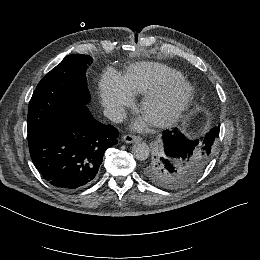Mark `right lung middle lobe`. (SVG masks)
<instances>
[{"label": "right lung middle lobe", "instance_id": "1", "mask_svg": "<svg viewBox=\"0 0 260 260\" xmlns=\"http://www.w3.org/2000/svg\"><path fill=\"white\" fill-rule=\"evenodd\" d=\"M90 63L88 55H69L39 82L29 104L28 135L90 101L86 78Z\"/></svg>", "mask_w": 260, "mask_h": 260}]
</instances>
